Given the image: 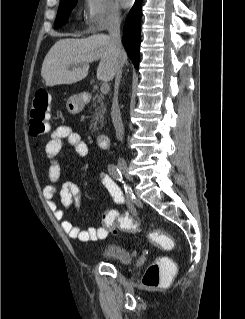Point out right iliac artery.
Masks as SVG:
<instances>
[{"instance_id":"82829eb1","label":"right iliac artery","mask_w":245,"mask_h":319,"mask_svg":"<svg viewBox=\"0 0 245 319\" xmlns=\"http://www.w3.org/2000/svg\"><path fill=\"white\" fill-rule=\"evenodd\" d=\"M108 172L114 179L124 183L122 173L118 169L117 166H115L114 164L109 165ZM113 190L115 191V196L116 197H117V195L119 196V201L124 202V196H123L120 188L114 182H113ZM125 192H126V196H127L128 206L131 210H133L132 200L134 198V194L131 192V188H129L128 186H125Z\"/></svg>"}]
</instances>
